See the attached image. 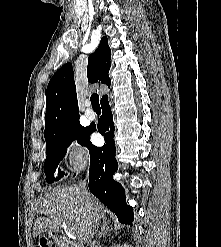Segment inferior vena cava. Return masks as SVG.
<instances>
[{
	"instance_id": "obj_1",
	"label": "inferior vena cava",
	"mask_w": 221,
	"mask_h": 247,
	"mask_svg": "<svg viewBox=\"0 0 221 247\" xmlns=\"http://www.w3.org/2000/svg\"><path fill=\"white\" fill-rule=\"evenodd\" d=\"M86 184H87V180L84 179L83 181L79 182L78 188H79L80 192L82 193V196L89 202L90 201V193L86 188ZM95 232H96V229H93V230L90 229L89 230L87 244H89L91 247H92V245H94L93 238H94Z\"/></svg>"
}]
</instances>
